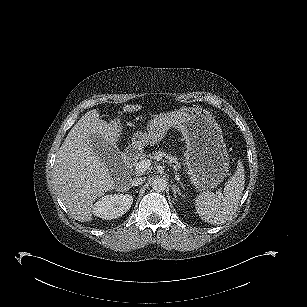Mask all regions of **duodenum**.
<instances>
[{"instance_id": "obj_1", "label": "duodenum", "mask_w": 307, "mask_h": 307, "mask_svg": "<svg viewBox=\"0 0 307 307\" xmlns=\"http://www.w3.org/2000/svg\"><path fill=\"white\" fill-rule=\"evenodd\" d=\"M132 157H133V151H131V152H129V153L127 154L128 160H130Z\"/></svg>"}]
</instances>
